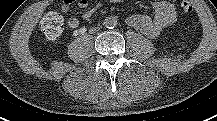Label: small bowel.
Segmentation results:
<instances>
[{
	"mask_svg": "<svg viewBox=\"0 0 217 121\" xmlns=\"http://www.w3.org/2000/svg\"><path fill=\"white\" fill-rule=\"evenodd\" d=\"M73 0H65L66 4L72 3ZM115 2L121 1V0H114ZM87 4L86 0H83L81 2V5ZM152 5L155 11L158 13V17L153 22V26L155 28L162 27L166 24H169L172 22L175 18V10L173 6L168 1H159V0H152ZM134 23H141L143 22V19L141 18H134L132 19ZM69 25L72 28H75L79 25V20L76 18H70L69 19Z\"/></svg>",
	"mask_w": 217,
	"mask_h": 121,
	"instance_id": "small-bowel-1",
	"label": "small bowel"
}]
</instances>
